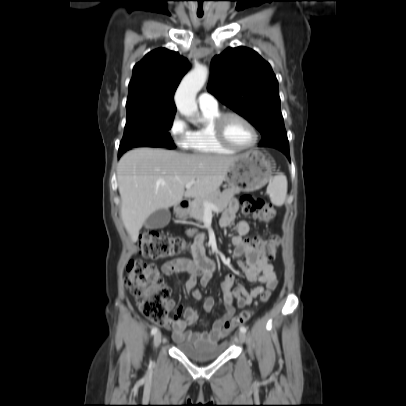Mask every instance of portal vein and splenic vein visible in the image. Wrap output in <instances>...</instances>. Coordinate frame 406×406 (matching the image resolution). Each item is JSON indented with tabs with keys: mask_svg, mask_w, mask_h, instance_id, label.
<instances>
[{
	"mask_svg": "<svg viewBox=\"0 0 406 406\" xmlns=\"http://www.w3.org/2000/svg\"><path fill=\"white\" fill-rule=\"evenodd\" d=\"M194 183H195L194 181L188 182V183H186L185 187L187 189L191 188ZM203 205H204V208H205L206 211H211V210L217 211L216 206L213 205L212 203L204 202Z\"/></svg>",
	"mask_w": 406,
	"mask_h": 406,
	"instance_id": "1",
	"label": "portal vein and splenic vein"
}]
</instances>
